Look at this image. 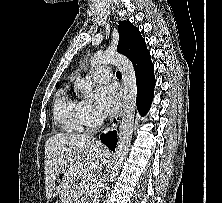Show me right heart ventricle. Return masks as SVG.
I'll return each instance as SVG.
<instances>
[{
  "label": "right heart ventricle",
  "mask_w": 222,
  "mask_h": 203,
  "mask_svg": "<svg viewBox=\"0 0 222 203\" xmlns=\"http://www.w3.org/2000/svg\"><path fill=\"white\" fill-rule=\"evenodd\" d=\"M80 101L63 88L55 101L53 114L55 122L66 132L78 133L83 130Z\"/></svg>",
  "instance_id": "e07e8e85"
}]
</instances>
